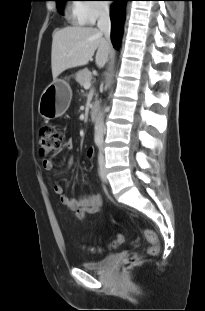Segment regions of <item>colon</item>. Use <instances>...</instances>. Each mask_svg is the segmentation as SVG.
<instances>
[{
    "instance_id": "5ec220e1",
    "label": "colon",
    "mask_w": 205,
    "mask_h": 311,
    "mask_svg": "<svg viewBox=\"0 0 205 311\" xmlns=\"http://www.w3.org/2000/svg\"><path fill=\"white\" fill-rule=\"evenodd\" d=\"M63 141V134L60 129H58L55 125L49 124L45 125L40 131V141L39 148L40 154L43 157H46L56 151H58L61 147ZM145 238L151 243V246L148 250L149 254L156 255L159 252L158 246V237L151 230H144ZM124 242V236L122 234H117L115 240L111 243L110 247H117ZM91 252L100 251V248L91 247L89 249ZM139 256L133 254L127 260L126 265L132 266L135 265L139 261Z\"/></svg>"
}]
</instances>
